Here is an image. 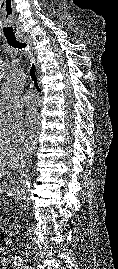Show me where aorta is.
Masks as SVG:
<instances>
[{"instance_id":"aorta-1","label":"aorta","mask_w":118,"mask_h":269,"mask_svg":"<svg viewBox=\"0 0 118 269\" xmlns=\"http://www.w3.org/2000/svg\"><path fill=\"white\" fill-rule=\"evenodd\" d=\"M25 79L23 71L15 72L8 78L0 92V112L11 113L16 109ZM30 187V179L23 176L12 190L13 197L17 200L25 199Z\"/></svg>"}]
</instances>
